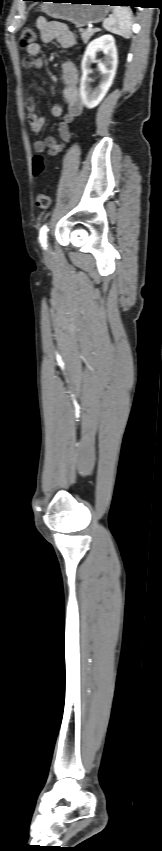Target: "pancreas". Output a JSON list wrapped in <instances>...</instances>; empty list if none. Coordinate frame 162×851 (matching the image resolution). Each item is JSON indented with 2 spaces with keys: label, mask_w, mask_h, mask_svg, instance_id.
Instances as JSON below:
<instances>
[{
  "label": "pancreas",
  "mask_w": 162,
  "mask_h": 851,
  "mask_svg": "<svg viewBox=\"0 0 162 851\" xmlns=\"http://www.w3.org/2000/svg\"><path fill=\"white\" fill-rule=\"evenodd\" d=\"M97 31H98L97 29H79V32H80V34H81V38H82V40H83V42H84V43H87V42L89 41V39H90V38L94 35V33H96Z\"/></svg>",
  "instance_id": "pancreas-1"
}]
</instances>
